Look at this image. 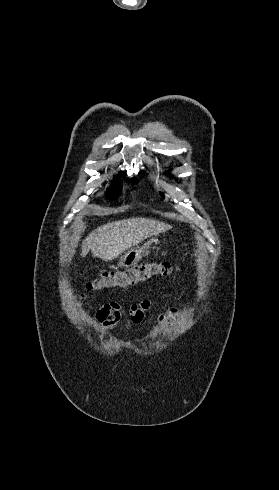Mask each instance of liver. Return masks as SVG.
Returning a JSON list of instances; mask_svg holds the SVG:
<instances>
[{"mask_svg": "<svg viewBox=\"0 0 279 490\" xmlns=\"http://www.w3.org/2000/svg\"><path fill=\"white\" fill-rule=\"evenodd\" d=\"M166 230H171V226L147 218H129V220L104 224L83 240L80 256L85 258L91 250L96 258L104 262H112L125 250L140 244L146 238L159 236Z\"/></svg>", "mask_w": 279, "mask_h": 490, "instance_id": "1", "label": "liver"}]
</instances>
